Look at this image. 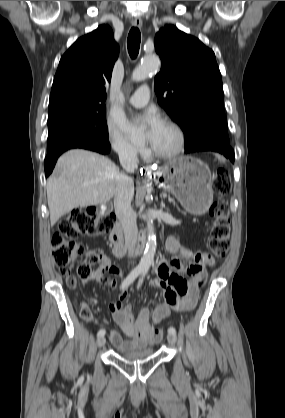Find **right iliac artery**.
I'll return each mask as SVG.
<instances>
[{
  "mask_svg": "<svg viewBox=\"0 0 285 418\" xmlns=\"http://www.w3.org/2000/svg\"><path fill=\"white\" fill-rule=\"evenodd\" d=\"M142 272H143V270L140 269V268H136V269L132 270L131 273L122 282L121 287L122 288H127ZM104 335H105V330L104 329H100L97 333L98 337L104 336Z\"/></svg>",
  "mask_w": 285,
  "mask_h": 418,
  "instance_id": "right-iliac-artery-1",
  "label": "right iliac artery"
}]
</instances>
